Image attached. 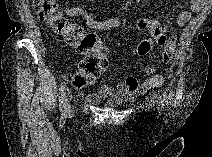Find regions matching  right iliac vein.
Masks as SVG:
<instances>
[{"label":"right iliac vein","mask_w":212,"mask_h":157,"mask_svg":"<svg viewBox=\"0 0 212 157\" xmlns=\"http://www.w3.org/2000/svg\"><path fill=\"white\" fill-rule=\"evenodd\" d=\"M65 114H68L70 113L71 111V106H70V102H69V99H68V96H65Z\"/></svg>","instance_id":"63e3f726"}]
</instances>
